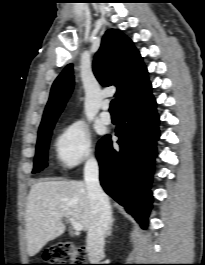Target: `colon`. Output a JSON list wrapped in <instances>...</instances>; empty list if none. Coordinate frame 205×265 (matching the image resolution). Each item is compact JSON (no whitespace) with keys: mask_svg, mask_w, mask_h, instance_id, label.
I'll use <instances>...</instances> for the list:
<instances>
[{"mask_svg":"<svg viewBox=\"0 0 205 265\" xmlns=\"http://www.w3.org/2000/svg\"><path fill=\"white\" fill-rule=\"evenodd\" d=\"M85 247H75L69 243H60L49 248L44 255L45 265H84ZM73 263V264H72Z\"/></svg>","mask_w":205,"mask_h":265,"instance_id":"colon-1","label":"colon"}]
</instances>
